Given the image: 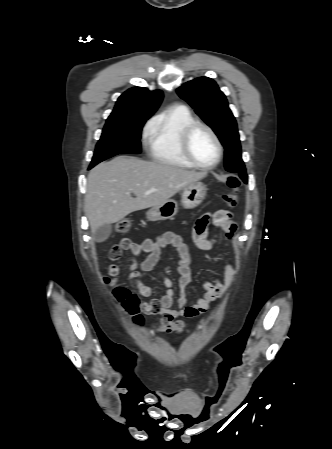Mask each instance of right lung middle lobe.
I'll return each instance as SVG.
<instances>
[{
	"label": "right lung middle lobe",
	"mask_w": 332,
	"mask_h": 449,
	"mask_svg": "<svg viewBox=\"0 0 332 449\" xmlns=\"http://www.w3.org/2000/svg\"><path fill=\"white\" fill-rule=\"evenodd\" d=\"M149 117L108 118L89 169L118 154L141 153V130Z\"/></svg>",
	"instance_id": "obj_1"
}]
</instances>
